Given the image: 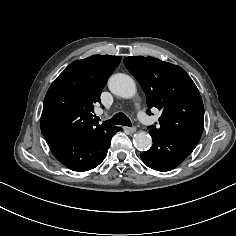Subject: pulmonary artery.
I'll use <instances>...</instances> for the list:
<instances>
[{
  "label": "pulmonary artery",
  "mask_w": 236,
  "mask_h": 236,
  "mask_svg": "<svg viewBox=\"0 0 236 236\" xmlns=\"http://www.w3.org/2000/svg\"><path fill=\"white\" fill-rule=\"evenodd\" d=\"M138 118L140 121L144 122L147 119V116L143 112H138Z\"/></svg>",
  "instance_id": "pulmonary-artery-1"
}]
</instances>
